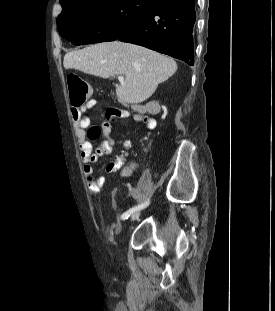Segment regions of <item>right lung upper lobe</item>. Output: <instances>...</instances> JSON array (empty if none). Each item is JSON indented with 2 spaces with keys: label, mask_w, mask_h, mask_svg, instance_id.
<instances>
[{
  "label": "right lung upper lobe",
  "mask_w": 275,
  "mask_h": 311,
  "mask_svg": "<svg viewBox=\"0 0 275 311\" xmlns=\"http://www.w3.org/2000/svg\"><path fill=\"white\" fill-rule=\"evenodd\" d=\"M69 1H73V0H60L61 5H64L65 3L69 2Z\"/></svg>",
  "instance_id": "1"
}]
</instances>
